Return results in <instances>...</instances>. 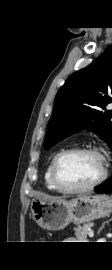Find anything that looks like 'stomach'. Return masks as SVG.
Here are the masks:
<instances>
[{
  "instance_id": "0dacf381",
  "label": "stomach",
  "mask_w": 112,
  "mask_h": 270,
  "mask_svg": "<svg viewBox=\"0 0 112 270\" xmlns=\"http://www.w3.org/2000/svg\"><path fill=\"white\" fill-rule=\"evenodd\" d=\"M35 222L46 230H61L69 223L83 224L112 213V199L105 195H80L69 201L38 198L31 202Z\"/></svg>"
}]
</instances>
